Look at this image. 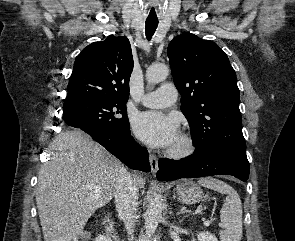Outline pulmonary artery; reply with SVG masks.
Returning a JSON list of instances; mask_svg holds the SVG:
<instances>
[{
    "mask_svg": "<svg viewBox=\"0 0 295 241\" xmlns=\"http://www.w3.org/2000/svg\"><path fill=\"white\" fill-rule=\"evenodd\" d=\"M177 90L172 84H163L157 90L145 94L141 102L150 108H165L173 105L177 100Z\"/></svg>",
    "mask_w": 295,
    "mask_h": 241,
    "instance_id": "e3ab8cb5",
    "label": "pulmonary artery"
}]
</instances>
